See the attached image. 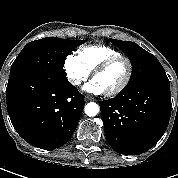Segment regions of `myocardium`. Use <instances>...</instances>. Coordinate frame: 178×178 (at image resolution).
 <instances>
[{"instance_id":"1","label":"myocardium","mask_w":178,"mask_h":178,"mask_svg":"<svg viewBox=\"0 0 178 178\" xmlns=\"http://www.w3.org/2000/svg\"><path fill=\"white\" fill-rule=\"evenodd\" d=\"M118 61H124L127 65V73H126L125 79L118 87L105 92L106 96H115L127 88V86L129 85V83L132 79V75H133L132 61L130 60V58H128L127 56H124V55L113 56V57H110V58L106 59L105 61H103L99 66H97L94 69V71L92 73V79H94L97 75L103 73L106 69H108L110 66H112L113 64H115Z\"/></svg>"}]
</instances>
